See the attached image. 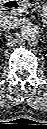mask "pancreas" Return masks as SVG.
I'll return each mask as SVG.
<instances>
[{
    "instance_id": "cf45deb5",
    "label": "pancreas",
    "mask_w": 47,
    "mask_h": 129,
    "mask_svg": "<svg viewBox=\"0 0 47 129\" xmlns=\"http://www.w3.org/2000/svg\"><path fill=\"white\" fill-rule=\"evenodd\" d=\"M24 1H25V2H24V3H25V6H26V5H27V3H26L27 1H26V0H24ZM21 2H23V1H21Z\"/></svg>"
}]
</instances>
